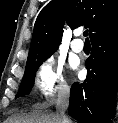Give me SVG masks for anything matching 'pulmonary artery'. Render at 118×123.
Masks as SVG:
<instances>
[{
	"label": "pulmonary artery",
	"instance_id": "obj_1",
	"mask_svg": "<svg viewBox=\"0 0 118 123\" xmlns=\"http://www.w3.org/2000/svg\"><path fill=\"white\" fill-rule=\"evenodd\" d=\"M79 33H76V38L71 43V48L76 53H81L84 49V43L78 38Z\"/></svg>",
	"mask_w": 118,
	"mask_h": 123
}]
</instances>
